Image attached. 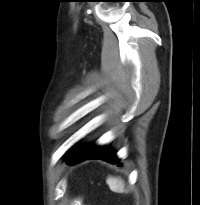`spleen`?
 I'll list each match as a JSON object with an SVG mask.
<instances>
[{
  "label": "spleen",
  "mask_w": 200,
  "mask_h": 205,
  "mask_svg": "<svg viewBox=\"0 0 200 205\" xmlns=\"http://www.w3.org/2000/svg\"><path fill=\"white\" fill-rule=\"evenodd\" d=\"M106 183L108 184L109 188L116 193H123L125 192L124 188V181L121 178H116L113 176H109L106 179Z\"/></svg>",
  "instance_id": "1"
}]
</instances>
